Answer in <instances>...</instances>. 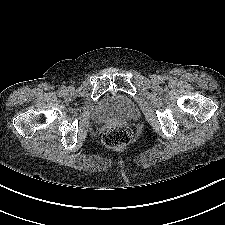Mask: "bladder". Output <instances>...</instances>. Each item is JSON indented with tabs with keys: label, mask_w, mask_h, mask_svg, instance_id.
<instances>
[{
	"label": "bladder",
	"mask_w": 225,
	"mask_h": 225,
	"mask_svg": "<svg viewBox=\"0 0 225 225\" xmlns=\"http://www.w3.org/2000/svg\"><path fill=\"white\" fill-rule=\"evenodd\" d=\"M138 114L136 103L123 94H116L105 99L94 113V120L107 122L117 118L133 119Z\"/></svg>",
	"instance_id": "obj_1"
}]
</instances>
